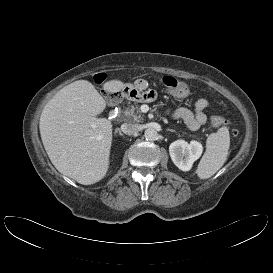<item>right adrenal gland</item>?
Instances as JSON below:
<instances>
[{
  "label": "right adrenal gland",
  "instance_id": "1",
  "mask_svg": "<svg viewBox=\"0 0 273 273\" xmlns=\"http://www.w3.org/2000/svg\"><path fill=\"white\" fill-rule=\"evenodd\" d=\"M115 134H119L120 136H124V135L121 133L120 130H116V131H115Z\"/></svg>",
  "mask_w": 273,
  "mask_h": 273
}]
</instances>
